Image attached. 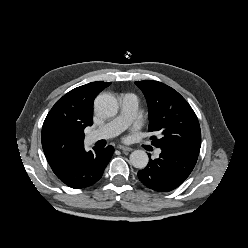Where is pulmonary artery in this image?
Instances as JSON below:
<instances>
[{
    "label": "pulmonary artery",
    "instance_id": "pulmonary-artery-1",
    "mask_svg": "<svg viewBox=\"0 0 248 248\" xmlns=\"http://www.w3.org/2000/svg\"><path fill=\"white\" fill-rule=\"evenodd\" d=\"M120 114L109 122L103 124L88 134V140L95 142L102 139H109L117 136L125 130L134 120L138 108V99L132 93H126L120 97ZM160 151H157L159 154Z\"/></svg>",
    "mask_w": 248,
    "mask_h": 248
}]
</instances>
